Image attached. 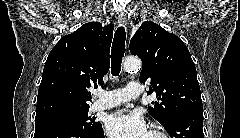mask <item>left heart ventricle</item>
Returning <instances> with one entry per match:
<instances>
[{"mask_svg":"<svg viewBox=\"0 0 240 138\" xmlns=\"http://www.w3.org/2000/svg\"><path fill=\"white\" fill-rule=\"evenodd\" d=\"M148 138H158V137H157V135L155 133L150 131Z\"/></svg>","mask_w":240,"mask_h":138,"instance_id":"left-heart-ventricle-1","label":"left heart ventricle"}]
</instances>
